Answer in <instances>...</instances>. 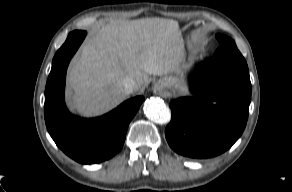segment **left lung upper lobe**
<instances>
[{"mask_svg":"<svg viewBox=\"0 0 292 192\" xmlns=\"http://www.w3.org/2000/svg\"><path fill=\"white\" fill-rule=\"evenodd\" d=\"M216 38L220 42V47L237 48L235 42L229 37L218 34Z\"/></svg>","mask_w":292,"mask_h":192,"instance_id":"1","label":"left lung upper lobe"}]
</instances>
